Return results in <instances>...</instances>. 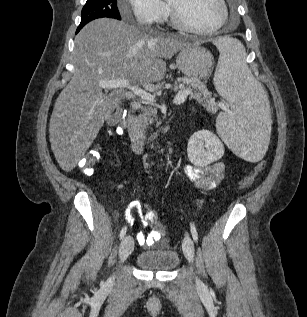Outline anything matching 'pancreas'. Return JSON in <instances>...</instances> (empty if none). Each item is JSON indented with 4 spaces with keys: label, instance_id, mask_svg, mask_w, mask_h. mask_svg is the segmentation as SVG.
I'll use <instances>...</instances> for the list:
<instances>
[{
    "label": "pancreas",
    "instance_id": "pancreas-1",
    "mask_svg": "<svg viewBox=\"0 0 307 317\" xmlns=\"http://www.w3.org/2000/svg\"><path fill=\"white\" fill-rule=\"evenodd\" d=\"M180 81L183 84L189 86L191 92L188 95H190V98L203 103V106L206 107L207 111L214 112L218 109V106L215 103L214 99L210 98L209 100L205 101V98L209 94L204 85L199 81V79L184 77L181 78ZM193 89H195V92H192ZM154 120H157L156 109L143 108L142 113L138 117L133 119V125L141 130H144L149 124H152Z\"/></svg>",
    "mask_w": 307,
    "mask_h": 317
}]
</instances>
